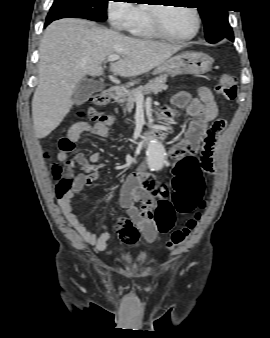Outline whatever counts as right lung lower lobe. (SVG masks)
<instances>
[{"instance_id": "obj_1", "label": "right lung lower lobe", "mask_w": 270, "mask_h": 338, "mask_svg": "<svg viewBox=\"0 0 270 338\" xmlns=\"http://www.w3.org/2000/svg\"><path fill=\"white\" fill-rule=\"evenodd\" d=\"M52 21H46V23H45V27L49 24V23H51Z\"/></svg>"}]
</instances>
